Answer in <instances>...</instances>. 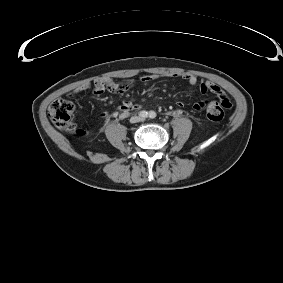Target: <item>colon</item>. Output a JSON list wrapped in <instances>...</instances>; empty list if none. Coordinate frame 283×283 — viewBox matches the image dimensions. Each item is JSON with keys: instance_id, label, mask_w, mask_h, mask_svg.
I'll return each instance as SVG.
<instances>
[{"instance_id": "obj_1", "label": "colon", "mask_w": 283, "mask_h": 283, "mask_svg": "<svg viewBox=\"0 0 283 283\" xmlns=\"http://www.w3.org/2000/svg\"><path fill=\"white\" fill-rule=\"evenodd\" d=\"M231 102L227 95H221L218 102H211L206 108V116L211 121H220L224 117L225 110L230 109ZM74 112V106L71 102L64 98L54 100L48 110V115L53 124L59 129L65 131H74L78 134H85V130L76 129L71 118Z\"/></svg>"}]
</instances>
